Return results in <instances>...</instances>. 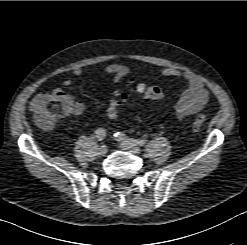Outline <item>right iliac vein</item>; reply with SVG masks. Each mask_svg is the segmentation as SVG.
<instances>
[{"instance_id":"63e3f726","label":"right iliac vein","mask_w":247,"mask_h":245,"mask_svg":"<svg viewBox=\"0 0 247 245\" xmlns=\"http://www.w3.org/2000/svg\"><path fill=\"white\" fill-rule=\"evenodd\" d=\"M107 151H108V148H107V146L106 145H101L100 147H99V149H98V153L100 154V155H105L106 153H107Z\"/></svg>"}]
</instances>
